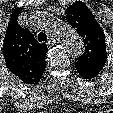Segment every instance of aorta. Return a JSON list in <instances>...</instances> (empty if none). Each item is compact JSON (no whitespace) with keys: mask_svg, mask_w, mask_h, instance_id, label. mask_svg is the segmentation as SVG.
<instances>
[{"mask_svg":"<svg viewBox=\"0 0 113 113\" xmlns=\"http://www.w3.org/2000/svg\"><path fill=\"white\" fill-rule=\"evenodd\" d=\"M44 18V23L48 30L60 39L68 52L75 56L83 53V41L69 24L62 22L51 15Z\"/></svg>","mask_w":113,"mask_h":113,"instance_id":"aorta-1","label":"aorta"}]
</instances>
